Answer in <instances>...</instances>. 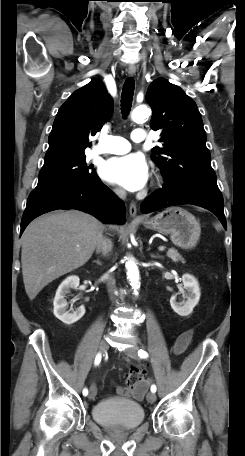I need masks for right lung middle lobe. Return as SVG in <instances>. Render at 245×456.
Segmentation results:
<instances>
[{
  "mask_svg": "<svg viewBox=\"0 0 245 456\" xmlns=\"http://www.w3.org/2000/svg\"><path fill=\"white\" fill-rule=\"evenodd\" d=\"M86 156L63 161L50 166L42 167L35 189H45L70 183L87 182L97 178L92 167L87 166Z\"/></svg>",
  "mask_w": 245,
  "mask_h": 456,
  "instance_id": "right-lung-middle-lobe-1",
  "label": "right lung middle lobe"
}]
</instances>
